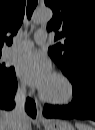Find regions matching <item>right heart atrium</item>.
<instances>
[{"instance_id": "right-heart-atrium-1", "label": "right heart atrium", "mask_w": 95, "mask_h": 130, "mask_svg": "<svg viewBox=\"0 0 95 130\" xmlns=\"http://www.w3.org/2000/svg\"><path fill=\"white\" fill-rule=\"evenodd\" d=\"M18 91H19L20 93H24V92L26 91V87H25V85H24L23 83H20V84L18 85Z\"/></svg>"}]
</instances>
